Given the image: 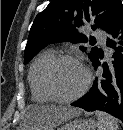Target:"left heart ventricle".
<instances>
[{
  "label": "left heart ventricle",
  "mask_w": 123,
  "mask_h": 130,
  "mask_svg": "<svg viewBox=\"0 0 123 130\" xmlns=\"http://www.w3.org/2000/svg\"><path fill=\"white\" fill-rule=\"evenodd\" d=\"M85 79V71L75 61L60 63L54 75L56 88L64 96L76 93L83 86Z\"/></svg>",
  "instance_id": "b2bd125f"
}]
</instances>
